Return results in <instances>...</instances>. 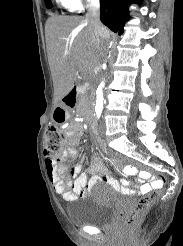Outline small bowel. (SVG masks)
Returning a JSON list of instances; mask_svg holds the SVG:
<instances>
[{
	"label": "small bowel",
	"mask_w": 183,
	"mask_h": 246,
	"mask_svg": "<svg viewBox=\"0 0 183 246\" xmlns=\"http://www.w3.org/2000/svg\"><path fill=\"white\" fill-rule=\"evenodd\" d=\"M80 136V133L77 131L67 132L68 140L72 146L63 150V159H69L76 154V146L79 144ZM45 167L55 191L58 194H61L67 201H75L79 198L88 197L93 186L99 182H106L116 191H119L125 195H129L135 191V188L132 187L126 179L118 181L111 178L106 169L99 162H95L91 166V171L96 174L91 178L88 177L87 173L82 172L80 165L66 164L49 156L45 158ZM123 170L125 174H132V177L136 178V183H142L143 179H145L147 184H143L140 187V191L142 193H147L152 188L158 186V180L155 178H150V174L147 170H144L141 173H135L139 171V168L130 167L128 165L125 166Z\"/></svg>",
	"instance_id": "1"
}]
</instances>
